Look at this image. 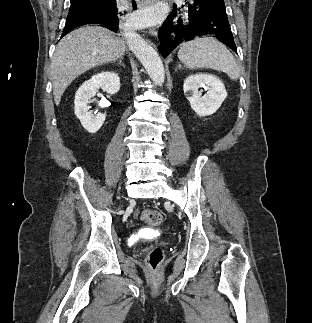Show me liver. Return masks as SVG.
I'll return each instance as SVG.
<instances>
[{
	"instance_id": "liver-1",
	"label": "liver",
	"mask_w": 312,
	"mask_h": 323,
	"mask_svg": "<svg viewBox=\"0 0 312 323\" xmlns=\"http://www.w3.org/2000/svg\"><path fill=\"white\" fill-rule=\"evenodd\" d=\"M125 42L101 26H82L69 32L57 44L51 64L56 106L69 84L95 66L116 62L125 54Z\"/></svg>"
}]
</instances>
